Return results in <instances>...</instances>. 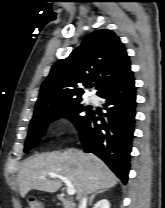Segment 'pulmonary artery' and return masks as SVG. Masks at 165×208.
<instances>
[{
	"label": "pulmonary artery",
	"instance_id": "obj_1",
	"mask_svg": "<svg viewBox=\"0 0 165 208\" xmlns=\"http://www.w3.org/2000/svg\"><path fill=\"white\" fill-rule=\"evenodd\" d=\"M88 99L91 103H94V104H96L98 102V100L95 96H90Z\"/></svg>",
	"mask_w": 165,
	"mask_h": 208
}]
</instances>
